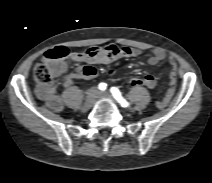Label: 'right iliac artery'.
I'll return each mask as SVG.
<instances>
[{
	"label": "right iliac artery",
	"instance_id": "right-iliac-artery-1",
	"mask_svg": "<svg viewBox=\"0 0 212 183\" xmlns=\"http://www.w3.org/2000/svg\"><path fill=\"white\" fill-rule=\"evenodd\" d=\"M98 87H99L100 90L103 91V90L106 89L107 85L105 83H100Z\"/></svg>",
	"mask_w": 212,
	"mask_h": 183
}]
</instances>
